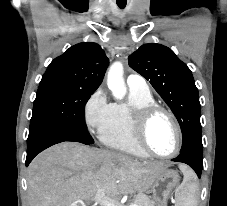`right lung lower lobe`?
<instances>
[{
    "label": "right lung lower lobe",
    "mask_w": 227,
    "mask_h": 206,
    "mask_svg": "<svg viewBox=\"0 0 227 206\" xmlns=\"http://www.w3.org/2000/svg\"><path fill=\"white\" fill-rule=\"evenodd\" d=\"M64 141H75L86 145L91 144L79 135L68 130L57 128L43 129L35 135L28 136L26 166H28L32 159L44 149Z\"/></svg>",
    "instance_id": "obj_1"
}]
</instances>
